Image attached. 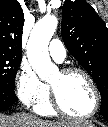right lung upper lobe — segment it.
<instances>
[{
  "label": "right lung upper lobe",
  "mask_w": 108,
  "mask_h": 127,
  "mask_svg": "<svg viewBox=\"0 0 108 127\" xmlns=\"http://www.w3.org/2000/svg\"><path fill=\"white\" fill-rule=\"evenodd\" d=\"M24 14L17 0H0V52L22 55Z\"/></svg>",
  "instance_id": "cb5924a9"
}]
</instances>
